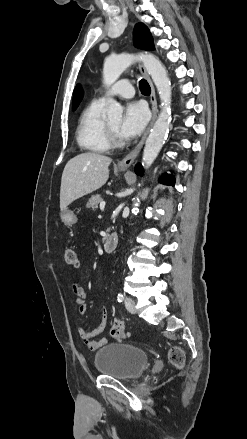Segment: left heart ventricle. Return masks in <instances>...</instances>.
Wrapping results in <instances>:
<instances>
[{"mask_svg":"<svg viewBox=\"0 0 247 439\" xmlns=\"http://www.w3.org/2000/svg\"><path fill=\"white\" fill-rule=\"evenodd\" d=\"M108 123L115 130V132L118 134V136L121 137L119 135V132H118V127H119V124H120V119L119 118L112 119V120H109Z\"/></svg>","mask_w":247,"mask_h":439,"instance_id":"1","label":"left heart ventricle"}]
</instances>
